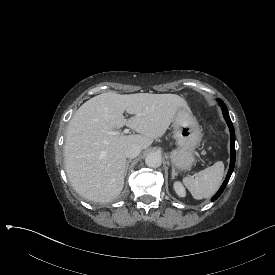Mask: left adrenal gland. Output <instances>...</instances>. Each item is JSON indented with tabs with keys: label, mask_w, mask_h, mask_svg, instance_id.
Returning a JSON list of instances; mask_svg holds the SVG:
<instances>
[{
	"label": "left adrenal gland",
	"mask_w": 275,
	"mask_h": 275,
	"mask_svg": "<svg viewBox=\"0 0 275 275\" xmlns=\"http://www.w3.org/2000/svg\"><path fill=\"white\" fill-rule=\"evenodd\" d=\"M176 175L177 173L175 172V168L172 166V179H174Z\"/></svg>",
	"instance_id": "left-adrenal-gland-1"
}]
</instances>
